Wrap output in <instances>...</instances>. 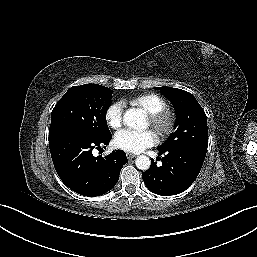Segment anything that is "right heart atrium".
Instances as JSON below:
<instances>
[{
	"mask_svg": "<svg viewBox=\"0 0 257 257\" xmlns=\"http://www.w3.org/2000/svg\"><path fill=\"white\" fill-rule=\"evenodd\" d=\"M124 105L121 102H114L108 106L105 112V120L107 125L118 130L123 124Z\"/></svg>",
	"mask_w": 257,
	"mask_h": 257,
	"instance_id": "1",
	"label": "right heart atrium"
}]
</instances>
